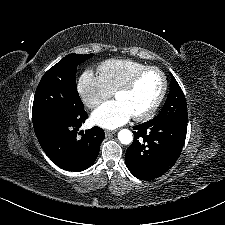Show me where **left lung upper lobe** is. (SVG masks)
I'll use <instances>...</instances> for the list:
<instances>
[{"mask_svg": "<svg viewBox=\"0 0 225 225\" xmlns=\"http://www.w3.org/2000/svg\"><path fill=\"white\" fill-rule=\"evenodd\" d=\"M154 122H179L187 123V104L185 96L177 83L176 79L171 75L170 92L167 100L159 114L153 119Z\"/></svg>", "mask_w": 225, "mask_h": 225, "instance_id": "obj_1", "label": "left lung upper lobe"}]
</instances>
